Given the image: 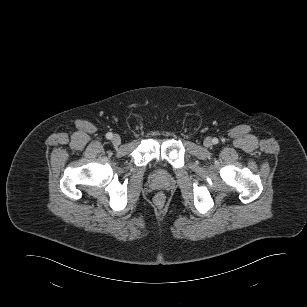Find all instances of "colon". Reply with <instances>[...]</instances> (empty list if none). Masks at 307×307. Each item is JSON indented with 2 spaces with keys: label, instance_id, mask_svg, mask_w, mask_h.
I'll return each instance as SVG.
<instances>
[{
  "label": "colon",
  "instance_id": "obj_1",
  "mask_svg": "<svg viewBox=\"0 0 307 307\" xmlns=\"http://www.w3.org/2000/svg\"><path fill=\"white\" fill-rule=\"evenodd\" d=\"M165 197L163 194L159 193L157 196H156V201L159 202V203H162L164 201Z\"/></svg>",
  "mask_w": 307,
  "mask_h": 307
}]
</instances>
